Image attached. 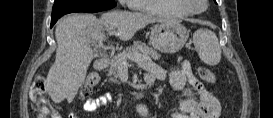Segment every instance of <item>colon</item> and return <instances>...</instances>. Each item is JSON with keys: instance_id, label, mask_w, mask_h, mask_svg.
Instances as JSON below:
<instances>
[{"instance_id": "colon-1", "label": "colon", "mask_w": 273, "mask_h": 118, "mask_svg": "<svg viewBox=\"0 0 273 118\" xmlns=\"http://www.w3.org/2000/svg\"><path fill=\"white\" fill-rule=\"evenodd\" d=\"M198 75L201 79L207 82L215 81L214 74L206 67H199ZM98 82L99 76L96 73L89 74L82 85L80 96L82 98L86 97L92 91V89L97 86ZM31 99L36 105L37 109L42 113L43 117L45 115H50L53 118L56 117L50 105L49 95L46 91V80L44 77L38 76L34 80L31 88Z\"/></svg>"}]
</instances>
